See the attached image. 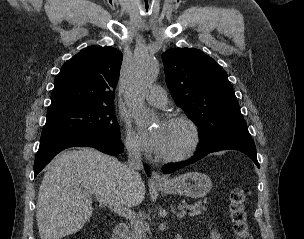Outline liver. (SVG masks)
<instances>
[{"label": "liver", "mask_w": 304, "mask_h": 239, "mask_svg": "<svg viewBox=\"0 0 304 239\" xmlns=\"http://www.w3.org/2000/svg\"><path fill=\"white\" fill-rule=\"evenodd\" d=\"M118 159L92 148L67 150L47 168L39 188L37 225L41 239H61L83 228L93 198H110L125 207L142 202L141 177L130 180Z\"/></svg>", "instance_id": "6515ba94"}]
</instances>
